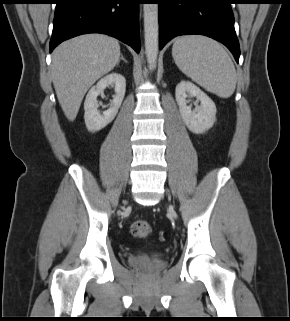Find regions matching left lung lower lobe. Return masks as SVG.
<instances>
[{
  "label": "left lung lower lobe",
  "instance_id": "0a47b994",
  "mask_svg": "<svg viewBox=\"0 0 290 321\" xmlns=\"http://www.w3.org/2000/svg\"><path fill=\"white\" fill-rule=\"evenodd\" d=\"M159 47L180 35L199 34L223 43L239 61L240 47L231 9L233 0H156Z\"/></svg>",
  "mask_w": 290,
  "mask_h": 321
}]
</instances>
